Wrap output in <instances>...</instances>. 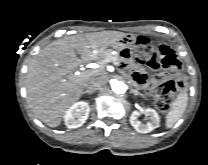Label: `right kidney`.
<instances>
[{"mask_svg": "<svg viewBox=\"0 0 208 165\" xmlns=\"http://www.w3.org/2000/svg\"><path fill=\"white\" fill-rule=\"evenodd\" d=\"M90 107L87 102L80 101L72 105L64 115L65 125L72 129L82 126L88 119Z\"/></svg>", "mask_w": 208, "mask_h": 165, "instance_id": "1", "label": "right kidney"}]
</instances>
